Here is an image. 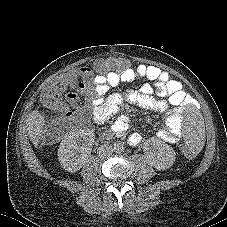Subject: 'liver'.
I'll use <instances>...</instances> for the list:
<instances>
[{
	"mask_svg": "<svg viewBox=\"0 0 227 227\" xmlns=\"http://www.w3.org/2000/svg\"><path fill=\"white\" fill-rule=\"evenodd\" d=\"M45 122L46 121L44 117L39 113L38 110H34L29 114L27 120V130L30 140L35 146H38L39 144V137Z\"/></svg>",
	"mask_w": 227,
	"mask_h": 227,
	"instance_id": "6515ba94",
	"label": "liver"
}]
</instances>
